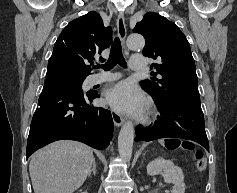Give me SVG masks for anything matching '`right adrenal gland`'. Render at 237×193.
I'll use <instances>...</instances> for the list:
<instances>
[{"mask_svg": "<svg viewBox=\"0 0 237 193\" xmlns=\"http://www.w3.org/2000/svg\"><path fill=\"white\" fill-rule=\"evenodd\" d=\"M92 172H93L94 175H96V161H95V159H94V161H93V167H92V169L90 170L88 176H90Z\"/></svg>", "mask_w": 237, "mask_h": 193, "instance_id": "2a0ac1e0", "label": "right adrenal gland"}]
</instances>
